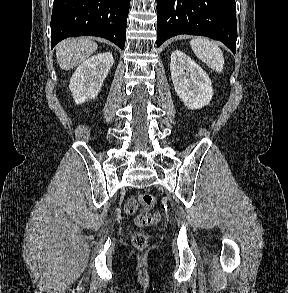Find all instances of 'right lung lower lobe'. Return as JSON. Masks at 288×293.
I'll return each mask as SVG.
<instances>
[{"label": "right lung lower lobe", "mask_w": 288, "mask_h": 293, "mask_svg": "<svg viewBox=\"0 0 288 293\" xmlns=\"http://www.w3.org/2000/svg\"><path fill=\"white\" fill-rule=\"evenodd\" d=\"M130 0H54L51 48L67 37L99 36L124 49Z\"/></svg>", "instance_id": "98d812e1"}]
</instances>
